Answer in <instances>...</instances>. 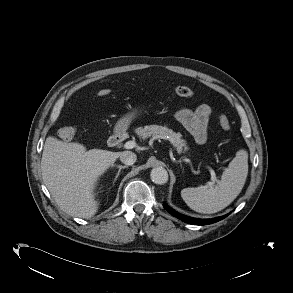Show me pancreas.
Here are the masks:
<instances>
[{"label":"pancreas","instance_id":"1","mask_svg":"<svg viewBox=\"0 0 293 293\" xmlns=\"http://www.w3.org/2000/svg\"><path fill=\"white\" fill-rule=\"evenodd\" d=\"M135 133L143 139H147L149 137H153L155 139H168L174 145L178 153L185 152L188 149L186 142L181 138V134L174 132L167 126L156 124L147 125L144 128H136Z\"/></svg>","mask_w":293,"mask_h":293}]
</instances>
